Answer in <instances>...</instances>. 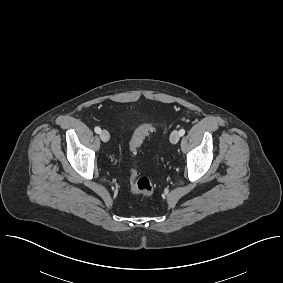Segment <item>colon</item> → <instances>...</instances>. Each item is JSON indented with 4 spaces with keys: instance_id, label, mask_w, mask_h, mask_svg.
<instances>
[{
    "instance_id": "colon-1",
    "label": "colon",
    "mask_w": 283,
    "mask_h": 283,
    "mask_svg": "<svg viewBox=\"0 0 283 283\" xmlns=\"http://www.w3.org/2000/svg\"><path fill=\"white\" fill-rule=\"evenodd\" d=\"M152 123H145L139 127L134 133L129 149L131 153H136L138 148L143 144L144 140L154 131ZM130 187L134 193L142 194L144 196H151L154 193V186L147 177H139L135 169L130 173Z\"/></svg>"
}]
</instances>
